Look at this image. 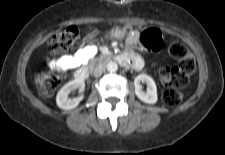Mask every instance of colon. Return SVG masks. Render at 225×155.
Returning a JSON list of instances; mask_svg holds the SVG:
<instances>
[{"label": "colon", "instance_id": "obj_1", "mask_svg": "<svg viewBox=\"0 0 225 155\" xmlns=\"http://www.w3.org/2000/svg\"><path fill=\"white\" fill-rule=\"evenodd\" d=\"M79 37L76 26H69L50 37L48 43L55 53H64L70 50ZM141 43L149 50H157L161 46V35L156 29H147L140 36ZM169 54L177 61L174 66H165L159 71V78L167 86L162 94V101L167 106L177 105L181 98V89L184 88L195 72L196 63L188 48L181 42H173L168 47ZM62 81L60 67L51 73L37 77L39 92L43 96H51Z\"/></svg>", "mask_w": 225, "mask_h": 155}]
</instances>
